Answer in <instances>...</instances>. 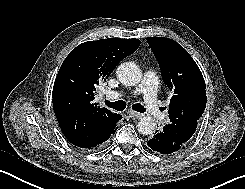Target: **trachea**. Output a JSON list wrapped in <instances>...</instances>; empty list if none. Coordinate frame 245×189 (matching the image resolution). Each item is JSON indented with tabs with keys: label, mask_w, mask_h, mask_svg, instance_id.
Returning <instances> with one entry per match:
<instances>
[{
	"label": "trachea",
	"mask_w": 245,
	"mask_h": 189,
	"mask_svg": "<svg viewBox=\"0 0 245 189\" xmlns=\"http://www.w3.org/2000/svg\"><path fill=\"white\" fill-rule=\"evenodd\" d=\"M104 103L106 106L112 109H115L117 111H123L126 108V103L123 100H119L115 102L105 101ZM132 108L133 110L140 112V113H144L146 111L144 106H142L139 103L132 105Z\"/></svg>",
	"instance_id": "trachea-1"
}]
</instances>
